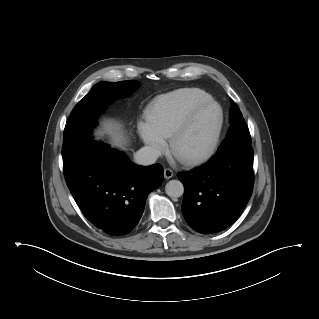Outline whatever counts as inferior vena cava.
<instances>
[{
  "label": "inferior vena cava",
  "mask_w": 319,
  "mask_h": 319,
  "mask_svg": "<svg viewBox=\"0 0 319 319\" xmlns=\"http://www.w3.org/2000/svg\"><path fill=\"white\" fill-rule=\"evenodd\" d=\"M160 151L152 146L142 147L134 154V161L139 165H151L160 156Z\"/></svg>",
  "instance_id": "1"
}]
</instances>
